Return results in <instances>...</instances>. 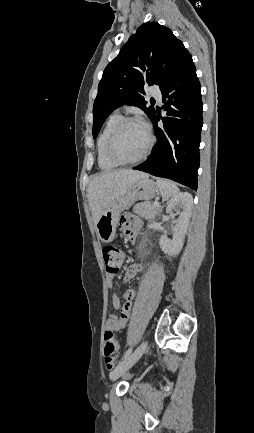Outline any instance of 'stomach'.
I'll list each match as a JSON object with an SVG mask.
<instances>
[{
    "label": "stomach",
    "mask_w": 254,
    "mask_h": 433,
    "mask_svg": "<svg viewBox=\"0 0 254 433\" xmlns=\"http://www.w3.org/2000/svg\"><path fill=\"white\" fill-rule=\"evenodd\" d=\"M159 193L157 184L148 177L139 178L123 195L113 200L96 223L97 236L102 242L114 240L120 214L137 200H150Z\"/></svg>",
    "instance_id": "1"
}]
</instances>
